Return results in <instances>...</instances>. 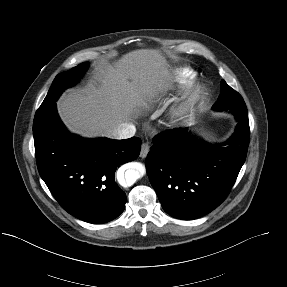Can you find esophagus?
Segmentation results:
<instances>
[{"instance_id":"obj_1","label":"esophagus","mask_w":287,"mask_h":287,"mask_svg":"<svg viewBox=\"0 0 287 287\" xmlns=\"http://www.w3.org/2000/svg\"><path fill=\"white\" fill-rule=\"evenodd\" d=\"M150 145L148 142H145L141 145L140 157L145 158L149 152Z\"/></svg>"}]
</instances>
